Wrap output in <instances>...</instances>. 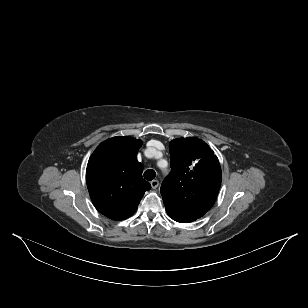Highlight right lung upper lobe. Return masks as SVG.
<instances>
[{"mask_svg": "<svg viewBox=\"0 0 308 308\" xmlns=\"http://www.w3.org/2000/svg\"><path fill=\"white\" fill-rule=\"evenodd\" d=\"M142 144L128 136L101 143L91 155L86 182L95 208L112 220L132 215L151 185L142 178L143 165L136 155Z\"/></svg>", "mask_w": 308, "mask_h": 308, "instance_id": "right-lung-upper-lobe-1", "label": "right lung upper lobe"}]
</instances>
